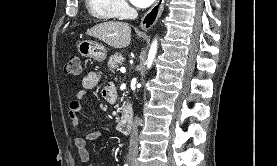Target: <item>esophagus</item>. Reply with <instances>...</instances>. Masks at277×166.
<instances>
[{
  "mask_svg": "<svg viewBox=\"0 0 277 166\" xmlns=\"http://www.w3.org/2000/svg\"><path fill=\"white\" fill-rule=\"evenodd\" d=\"M165 0H157L141 19L140 27L147 31L151 29L161 16Z\"/></svg>",
  "mask_w": 277,
  "mask_h": 166,
  "instance_id": "esophagus-1",
  "label": "esophagus"
}]
</instances>
